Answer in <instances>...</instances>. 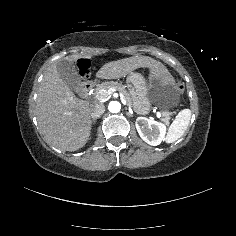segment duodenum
<instances>
[{
	"label": "duodenum",
	"instance_id": "1",
	"mask_svg": "<svg viewBox=\"0 0 236 236\" xmlns=\"http://www.w3.org/2000/svg\"><path fill=\"white\" fill-rule=\"evenodd\" d=\"M95 81L89 76H84L81 82L80 94L86 96L88 91L94 86Z\"/></svg>",
	"mask_w": 236,
	"mask_h": 236
}]
</instances>
